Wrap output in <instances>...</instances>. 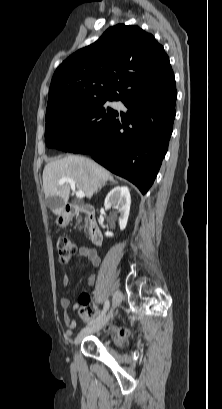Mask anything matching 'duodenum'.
<instances>
[{
  "mask_svg": "<svg viewBox=\"0 0 222 409\" xmlns=\"http://www.w3.org/2000/svg\"><path fill=\"white\" fill-rule=\"evenodd\" d=\"M65 210V216L67 219H71L78 213H84L86 216V224L90 242L94 246H101L103 237L101 229L95 218L94 208L91 205H67Z\"/></svg>",
  "mask_w": 222,
  "mask_h": 409,
  "instance_id": "duodenum-1",
  "label": "duodenum"
}]
</instances>
